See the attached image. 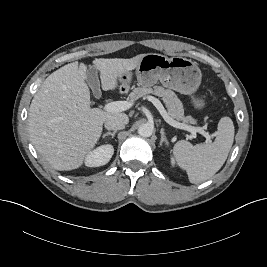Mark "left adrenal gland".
Returning a JSON list of instances; mask_svg holds the SVG:
<instances>
[{"label":"left adrenal gland","mask_w":267,"mask_h":267,"mask_svg":"<svg viewBox=\"0 0 267 267\" xmlns=\"http://www.w3.org/2000/svg\"><path fill=\"white\" fill-rule=\"evenodd\" d=\"M160 134H161L160 146H162L163 143L168 145V140L166 139L165 132H164L163 128L160 130Z\"/></svg>","instance_id":"obj_1"}]
</instances>
